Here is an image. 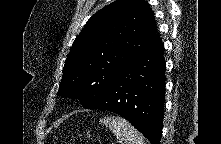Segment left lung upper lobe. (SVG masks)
I'll return each instance as SVG.
<instances>
[{"mask_svg":"<svg viewBox=\"0 0 221 144\" xmlns=\"http://www.w3.org/2000/svg\"><path fill=\"white\" fill-rule=\"evenodd\" d=\"M156 32L153 12L144 0H116L105 6L72 44L57 95L79 98L90 108Z\"/></svg>","mask_w":221,"mask_h":144,"instance_id":"left-lung-upper-lobe-1","label":"left lung upper lobe"}]
</instances>
